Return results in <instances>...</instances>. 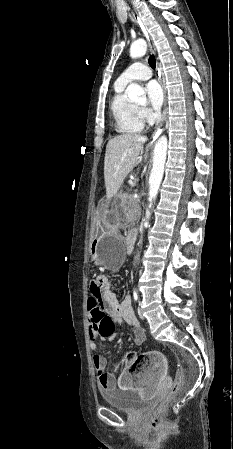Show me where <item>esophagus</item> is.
Wrapping results in <instances>:
<instances>
[{"label":"esophagus","instance_id":"34e87169","mask_svg":"<svg viewBox=\"0 0 233 449\" xmlns=\"http://www.w3.org/2000/svg\"><path fill=\"white\" fill-rule=\"evenodd\" d=\"M133 18H134L135 22L137 23V25L139 26V28L141 29V31H142V32L144 33V35L146 36L147 42H148V46H149V50H150L152 53H155V45H154L153 39H152V37H151V35H150V33H149V31H148L146 25L144 24V22L142 21V19L140 18V16H139L138 14L133 13ZM159 82H160V84H161V86H162L163 94H164V108H163V113H162L160 122H159V124H158V126L156 127V130H155V132H154V135H155V136H156V134L158 133L160 127L162 126V124H163V122H164L165 115H166V103H167L166 89H165V86H164V84H163V81H162V78H161L160 73H159ZM155 136H154V137H155Z\"/></svg>","mask_w":233,"mask_h":449}]
</instances>
